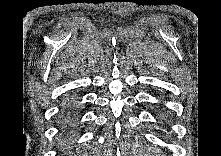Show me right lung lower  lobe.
Listing matches in <instances>:
<instances>
[{
	"label": "right lung lower lobe",
	"instance_id": "1",
	"mask_svg": "<svg viewBox=\"0 0 221 156\" xmlns=\"http://www.w3.org/2000/svg\"><path fill=\"white\" fill-rule=\"evenodd\" d=\"M78 107L75 105V98L66 99L65 107L60 113V122L65 129H71L75 126L77 120Z\"/></svg>",
	"mask_w": 221,
	"mask_h": 156
}]
</instances>
